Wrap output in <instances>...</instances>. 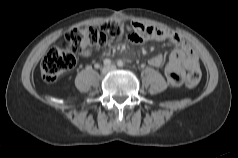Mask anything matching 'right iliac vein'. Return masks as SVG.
I'll use <instances>...</instances> for the list:
<instances>
[{"mask_svg": "<svg viewBox=\"0 0 238 158\" xmlns=\"http://www.w3.org/2000/svg\"><path fill=\"white\" fill-rule=\"evenodd\" d=\"M101 72H102L103 75H105V74H107L109 72V68L108 67H104Z\"/></svg>", "mask_w": 238, "mask_h": 158, "instance_id": "63e3f726", "label": "right iliac vein"}]
</instances>
